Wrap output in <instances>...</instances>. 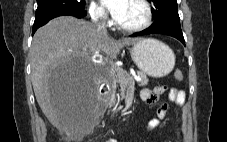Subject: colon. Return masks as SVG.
<instances>
[{
  "mask_svg": "<svg viewBox=\"0 0 227 142\" xmlns=\"http://www.w3.org/2000/svg\"><path fill=\"white\" fill-rule=\"evenodd\" d=\"M175 78H176L177 80H181V79L183 78L182 72H181V71H176V72H175Z\"/></svg>",
  "mask_w": 227,
  "mask_h": 142,
  "instance_id": "obj_1",
  "label": "colon"
}]
</instances>
